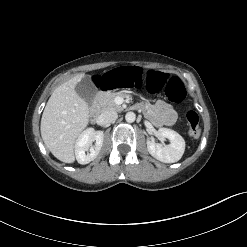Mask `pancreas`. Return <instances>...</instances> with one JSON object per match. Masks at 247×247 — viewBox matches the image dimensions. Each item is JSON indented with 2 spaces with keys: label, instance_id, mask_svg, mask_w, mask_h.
Listing matches in <instances>:
<instances>
[{
  "label": "pancreas",
  "instance_id": "pancreas-1",
  "mask_svg": "<svg viewBox=\"0 0 247 247\" xmlns=\"http://www.w3.org/2000/svg\"><path fill=\"white\" fill-rule=\"evenodd\" d=\"M117 96L126 97L124 94L121 93L105 92L101 93L98 96L97 101L102 110L113 109L116 111H122L123 107L115 103V98Z\"/></svg>",
  "mask_w": 247,
  "mask_h": 247
}]
</instances>
